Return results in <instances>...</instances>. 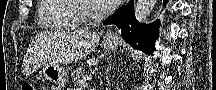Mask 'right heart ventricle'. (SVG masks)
I'll list each match as a JSON object with an SVG mask.
<instances>
[{
    "mask_svg": "<svg viewBox=\"0 0 216 90\" xmlns=\"http://www.w3.org/2000/svg\"><path fill=\"white\" fill-rule=\"evenodd\" d=\"M78 0H42L36 14L40 28H87L83 19H73Z\"/></svg>",
    "mask_w": 216,
    "mask_h": 90,
    "instance_id": "e07e8e85",
    "label": "right heart ventricle"
}]
</instances>
